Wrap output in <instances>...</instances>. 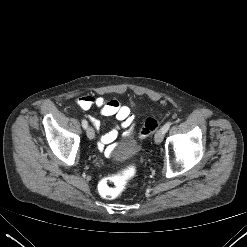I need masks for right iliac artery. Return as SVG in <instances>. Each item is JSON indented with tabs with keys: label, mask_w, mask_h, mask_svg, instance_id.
<instances>
[{
	"label": "right iliac artery",
	"mask_w": 247,
	"mask_h": 247,
	"mask_svg": "<svg viewBox=\"0 0 247 247\" xmlns=\"http://www.w3.org/2000/svg\"><path fill=\"white\" fill-rule=\"evenodd\" d=\"M82 127L84 128V129H86L87 127H88V123H87V121L86 120H82Z\"/></svg>",
	"instance_id": "1"
}]
</instances>
